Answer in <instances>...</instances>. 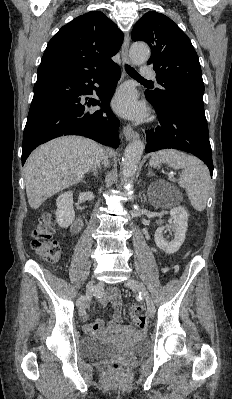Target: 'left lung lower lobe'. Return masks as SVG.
Masks as SVG:
<instances>
[{"label": "left lung lower lobe", "instance_id": "left-lung-lower-lobe-1", "mask_svg": "<svg viewBox=\"0 0 232 399\" xmlns=\"http://www.w3.org/2000/svg\"><path fill=\"white\" fill-rule=\"evenodd\" d=\"M147 98V97H146ZM150 102V100L147 98ZM156 109L160 125L147 130L145 152L173 148L189 152L201 159L213 174L212 150L208 129H205L183 113L163 109L150 102Z\"/></svg>", "mask_w": 232, "mask_h": 399}]
</instances>
